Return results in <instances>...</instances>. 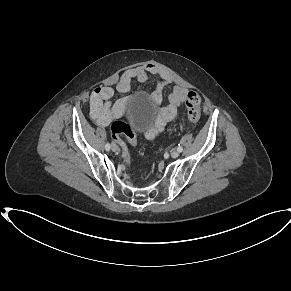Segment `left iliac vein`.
I'll use <instances>...</instances> for the list:
<instances>
[{
	"label": "left iliac vein",
	"instance_id": "obj_1",
	"mask_svg": "<svg viewBox=\"0 0 291 291\" xmlns=\"http://www.w3.org/2000/svg\"><path fill=\"white\" fill-rule=\"evenodd\" d=\"M179 154H180V153H179L178 150H174V151L171 152V157H172V158H177V157L179 156Z\"/></svg>",
	"mask_w": 291,
	"mask_h": 291
}]
</instances>
